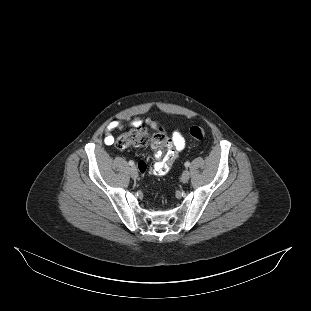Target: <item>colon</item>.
Masks as SVG:
<instances>
[{"label": "colon", "instance_id": "5ec220e1", "mask_svg": "<svg viewBox=\"0 0 311 311\" xmlns=\"http://www.w3.org/2000/svg\"><path fill=\"white\" fill-rule=\"evenodd\" d=\"M189 132L196 140H203L206 136V131L200 126H192ZM147 144H151L154 148L159 149L160 151L161 149L167 151L170 149V140L162 131L151 134L146 126L142 124L134 126L127 132H124L115 141V145L118 149L144 146ZM138 169L141 174H144L147 170L146 163L144 161L139 162ZM153 170L157 175H164L168 171V165L163 159L162 161H157L153 165Z\"/></svg>", "mask_w": 311, "mask_h": 311}]
</instances>
